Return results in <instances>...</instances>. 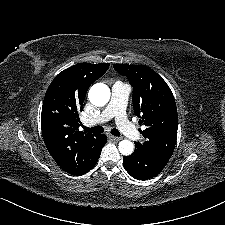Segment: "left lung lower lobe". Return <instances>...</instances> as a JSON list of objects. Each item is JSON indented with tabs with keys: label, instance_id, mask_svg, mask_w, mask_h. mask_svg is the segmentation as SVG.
Wrapping results in <instances>:
<instances>
[{
	"label": "left lung lower lobe",
	"instance_id": "obj_1",
	"mask_svg": "<svg viewBox=\"0 0 225 225\" xmlns=\"http://www.w3.org/2000/svg\"><path fill=\"white\" fill-rule=\"evenodd\" d=\"M167 162L168 160L151 155L136 145L133 154L123 157L124 168L138 180H147L158 175Z\"/></svg>",
	"mask_w": 225,
	"mask_h": 225
}]
</instances>
